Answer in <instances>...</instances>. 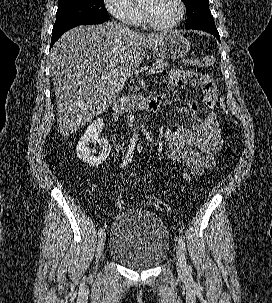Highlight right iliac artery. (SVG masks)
<instances>
[{
    "instance_id": "obj_1",
    "label": "right iliac artery",
    "mask_w": 272,
    "mask_h": 303,
    "mask_svg": "<svg viewBox=\"0 0 272 303\" xmlns=\"http://www.w3.org/2000/svg\"><path fill=\"white\" fill-rule=\"evenodd\" d=\"M134 148L135 146L134 145H130L128 150H127V153H126V156L123 160V163L121 164V167H124L126 166L129 162H131V159L133 157V154H134ZM105 234L104 230L101 228L99 231H98V235L101 236Z\"/></svg>"
}]
</instances>
